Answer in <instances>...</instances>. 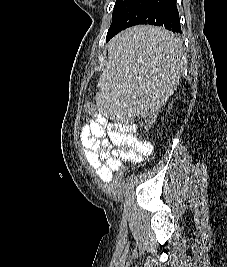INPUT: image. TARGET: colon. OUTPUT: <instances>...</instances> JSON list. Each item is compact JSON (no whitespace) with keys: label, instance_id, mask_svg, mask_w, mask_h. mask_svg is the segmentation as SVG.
Here are the masks:
<instances>
[{"label":"colon","instance_id":"colon-1","mask_svg":"<svg viewBox=\"0 0 227 267\" xmlns=\"http://www.w3.org/2000/svg\"><path fill=\"white\" fill-rule=\"evenodd\" d=\"M87 109L89 112H94L95 107L93 105H88ZM160 114L153 113V115H145L142 120V125H147L149 130H153L154 125L159 121ZM149 139H152V136H149ZM134 164H136V157L130 156L127 161H123V167L118 171V176H127V174H131V171L135 170Z\"/></svg>","mask_w":227,"mask_h":267}]
</instances>
